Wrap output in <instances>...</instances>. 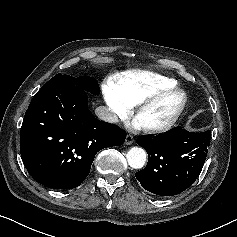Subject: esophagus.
Masks as SVG:
<instances>
[{"instance_id": "34e87169", "label": "esophagus", "mask_w": 237, "mask_h": 237, "mask_svg": "<svg viewBox=\"0 0 237 237\" xmlns=\"http://www.w3.org/2000/svg\"><path fill=\"white\" fill-rule=\"evenodd\" d=\"M133 142H134V137H133L132 135H127V136H126L125 143H126L127 145H131Z\"/></svg>"}]
</instances>
